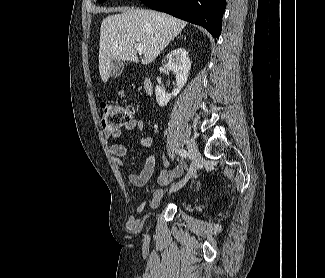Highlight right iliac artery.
Listing matches in <instances>:
<instances>
[{"label": "right iliac artery", "mask_w": 325, "mask_h": 278, "mask_svg": "<svg viewBox=\"0 0 325 278\" xmlns=\"http://www.w3.org/2000/svg\"><path fill=\"white\" fill-rule=\"evenodd\" d=\"M178 154L182 157V158H187L189 156V153L184 150V149H180L178 150Z\"/></svg>", "instance_id": "right-iliac-artery-1"}]
</instances>
